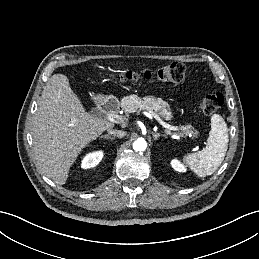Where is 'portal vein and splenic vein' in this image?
Masks as SVG:
<instances>
[{
    "label": "portal vein and splenic vein",
    "instance_id": "obj_1",
    "mask_svg": "<svg viewBox=\"0 0 259 259\" xmlns=\"http://www.w3.org/2000/svg\"><path fill=\"white\" fill-rule=\"evenodd\" d=\"M144 114L151 118L154 117L163 127H165L167 130H171V131H176L178 132L179 129L176 126H171L169 124H167L166 122L162 121V119H160V117L154 113L151 112H144ZM106 119L109 120L110 122H114V123H123L124 122V118L122 116H119L113 112H109L105 115Z\"/></svg>",
    "mask_w": 259,
    "mask_h": 259
}]
</instances>
